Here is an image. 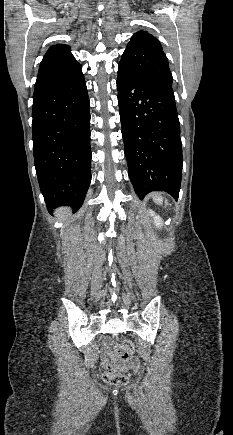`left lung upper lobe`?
Segmentation results:
<instances>
[{
	"mask_svg": "<svg viewBox=\"0 0 233 435\" xmlns=\"http://www.w3.org/2000/svg\"><path fill=\"white\" fill-rule=\"evenodd\" d=\"M119 65L151 84L172 90L168 59L159 40L148 32L139 31L131 37Z\"/></svg>",
	"mask_w": 233,
	"mask_h": 435,
	"instance_id": "obj_1",
	"label": "left lung upper lobe"
}]
</instances>
